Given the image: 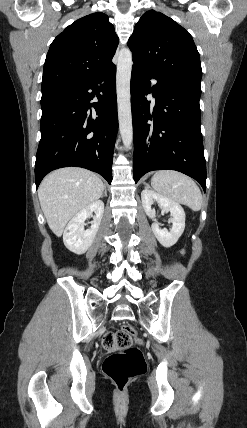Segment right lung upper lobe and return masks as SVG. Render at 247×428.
Listing matches in <instances>:
<instances>
[{
    "label": "right lung upper lobe",
    "mask_w": 247,
    "mask_h": 428,
    "mask_svg": "<svg viewBox=\"0 0 247 428\" xmlns=\"http://www.w3.org/2000/svg\"><path fill=\"white\" fill-rule=\"evenodd\" d=\"M118 42L106 14L96 12L76 20L50 45L42 94L79 87L111 67Z\"/></svg>",
    "instance_id": "obj_1"
}]
</instances>
